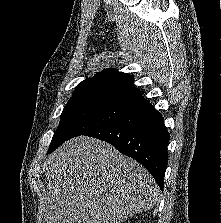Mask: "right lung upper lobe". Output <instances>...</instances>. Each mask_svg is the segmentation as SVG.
<instances>
[{"label": "right lung upper lobe", "instance_id": "1", "mask_svg": "<svg viewBox=\"0 0 221 223\" xmlns=\"http://www.w3.org/2000/svg\"><path fill=\"white\" fill-rule=\"evenodd\" d=\"M79 99L108 100L134 107L147 103L134 86L133 77L115 69L103 70L79 83L69 101Z\"/></svg>", "mask_w": 221, "mask_h": 223}]
</instances>
